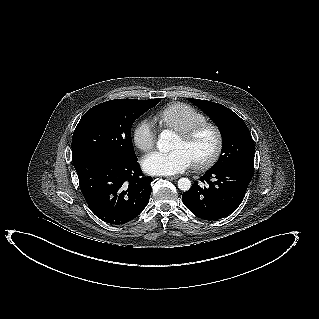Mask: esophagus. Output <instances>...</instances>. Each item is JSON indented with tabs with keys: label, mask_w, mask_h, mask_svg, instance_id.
<instances>
[{
	"label": "esophagus",
	"mask_w": 319,
	"mask_h": 319,
	"mask_svg": "<svg viewBox=\"0 0 319 319\" xmlns=\"http://www.w3.org/2000/svg\"><path fill=\"white\" fill-rule=\"evenodd\" d=\"M166 178L168 180H175V179H178V176H167Z\"/></svg>",
	"instance_id": "34e87169"
}]
</instances>
